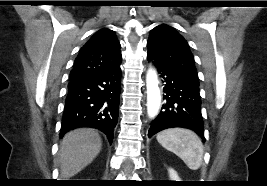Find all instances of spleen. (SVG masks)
I'll list each match as a JSON object with an SVG mask.
<instances>
[{
  "label": "spleen",
  "instance_id": "spleen-1",
  "mask_svg": "<svg viewBox=\"0 0 267 186\" xmlns=\"http://www.w3.org/2000/svg\"><path fill=\"white\" fill-rule=\"evenodd\" d=\"M157 141L165 149L180 157L191 170L200 168L203 160V144L191 130L172 128L157 134Z\"/></svg>",
  "mask_w": 267,
  "mask_h": 186
}]
</instances>
